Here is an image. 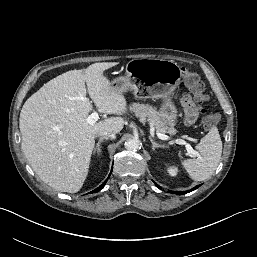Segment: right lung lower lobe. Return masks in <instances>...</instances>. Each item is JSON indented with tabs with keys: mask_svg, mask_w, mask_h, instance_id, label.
<instances>
[{
	"mask_svg": "<svg viewBox=\"0 0 257 257\" xmlns=\"http://www.w3.org/2000/svg\"><path fill=\"white\" fill-rule=\"evenodd\" d=\"M109 178V177H108ZM107 182V180L104 182V184H102L100 187L96 188L95 190H93L91 193L93 192H99L104 186H105V183Z\"/></svg>",
	"mask_w": 257,
	"mask_h": 257,
	"instance_id": "right-lung-lower-lobe-1",
	"label": "right lung lower lobe"
}]
</instances>
